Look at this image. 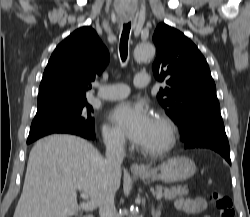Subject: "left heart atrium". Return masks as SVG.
I'll list each match as a JSON object with an SVG mask.
<instances>
[{"mask_svg":"<svg viewBox=\"0 0 250 217\" xmlns=\"http://www.w3.org/2000/svg\"><path fill=\"white\" fill-rule=\"evenodd\" d=\"M112 122L133 142L141 145L151 128L153 117L141 103L126 101L111 112Z\"/></svg>","mask_w":250,"mask_h":217,"instance_id":"left-heart-atrium-1","label":"left heart atrium"}]
</instances>
